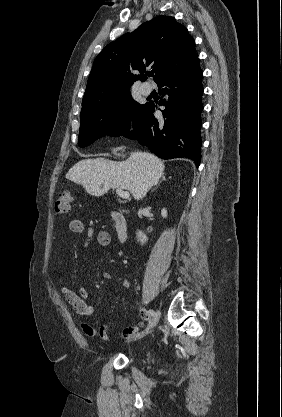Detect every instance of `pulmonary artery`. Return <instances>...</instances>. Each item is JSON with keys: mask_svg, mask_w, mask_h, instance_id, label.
Here are the masks:
<instances>
[{"mask_svg": "<svg viewBox=\"0 0 282 417\" xmlns=\"http://www.w3.org/2000/svg\"><path fill=\"white\" fill-rule=\"evenodd\" d=\"M141 92L144 95H149L152 92V88L151 87H147V86H143L141 88Z\"/></svg>", "mask_w": 282, "mask_h": 417, "instance_id": "e3ab8cb5", "label": "pulmonary artery"}]
</instances>
